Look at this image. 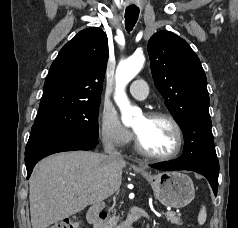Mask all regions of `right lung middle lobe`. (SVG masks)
<instances>
[{
	"label": "right lung middle lobe",
	"mask_w": 238,
	"mask_h": 228,
	"mask_svg": "<svg viewBox=\"0 0 238 228\" xmlns=\"http://www.w3.org/2000/svg\"><path fill=\"white\" fill-rule=\"evenodd\" d=\"M99 105L100 101L78 103L63 107L49 114L37 116L32 126V132H78L98 138Z\"/></svg>",
	"instance_id": "right-lung-middle-lobe-1"
}]
</instances>
